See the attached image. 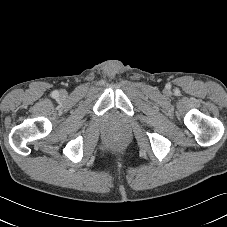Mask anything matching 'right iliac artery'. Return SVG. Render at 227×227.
<instances>
[{
    "mask_svg": "<svg viewBox=\"0 0 227 227\" xmlns=\"http://www.w3.org/2000/svg\"><path fill=\"white\" fill-rule=\"evenodd\" d=\"M58 95H59V94H58L57 91H54V92H53V96H54V97H57Z\"/></svg>",
    "mask_w": 227,
    "mask_h": 227,
    "instance_id": "right-iliac-artery-1",
    "label": "right iliac artery"
}]
</instances>
